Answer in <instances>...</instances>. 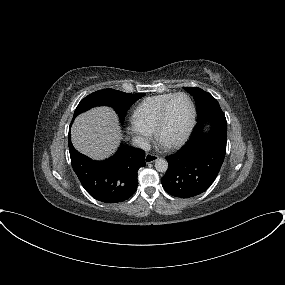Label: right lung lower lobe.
Listing matches in <instances>:
<instances>
[{
	"mask_svg": "<svg viewBox=\"0 0 285 285\" xmlns=\"http://www.w3.org/2000/svg\"><path fill=\"white\" fill-rule=\"evenodd\" d=\"M69 152L73 170L93 198L105 203H117L130 198L136 191L137 172L145 166L142 149L122 144L109 159L94 161L73 147L69 134Z\"/></svg>",
	"mask_w": 285,
	"mask_h": 285,
	"instance_id": "right-lung-lower-lobe-1",
	"label": "right lung lower lobe"
}]
</instances>
